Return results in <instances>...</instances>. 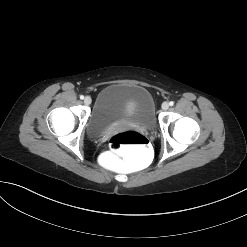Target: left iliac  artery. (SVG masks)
<instances>
[{
    "mask_svg": "<svg viewBox=\"0 0 247 247\" xmlns=\"http://www.w3.org/2000/svg\"><path fill=\"white\" fill-rule=\"evenodd\" d=\"M169 105H170V106H173V105H174V102H173V101H170V102H169Z\"/></svg>",
    "mask_w": 247,
    "mask_h": 247,
    "instance_id": "44dca946",
    "label": "left iliac artery"
}]
</instances>
